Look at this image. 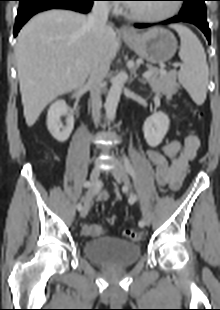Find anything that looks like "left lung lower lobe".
<instances>
[{"label": "left lung lower lobe", "instance_id": "left-lung-lower-lobe-1", "mask_svg": "<svg viewBox=\"0 0 220 310\" xmlns=\"http://www.w3.org/2000/svg\"><path fill=\"white\" fill-rule=\"evenodd\" d=\"M178 22H186V23H191L196 25L207 37L208 42H211V32L210 29L208 27V23L206 20V17H202V16H183L181 14L168 19L166 21L161 22V24H171V23H178ZM152 24H135V26L137 28H145V27H149Z\"/></svg>", "mask_w": 220, "mask_h": 310}]
</instances>
